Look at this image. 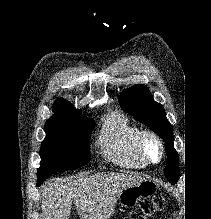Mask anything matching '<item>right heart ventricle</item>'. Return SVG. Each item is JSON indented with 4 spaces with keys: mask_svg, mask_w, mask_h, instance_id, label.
I'll list each match as a JSON object with an SVG mask.
<instances>
[{
    "mask_svg": "<svg viewBox=\"0 0 211 219\" xmlns=\"http://www.w3.org/2000/svg\"><path fill=\"white\" fill-rule=\"evenodd\" d=\"M140 128L120 112L109 113L103 122L98 146L103 156L125 169H142L147 163L137 151Z\"/></svg>",
    "mask_w": 211,
    "mask_h": 219,
    "instance_id": "right-heart-ventricle-1",
    "label": "right heart ventricle"
}]
</instances>
